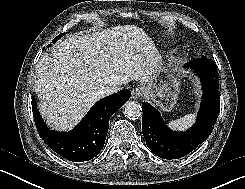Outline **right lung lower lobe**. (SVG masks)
Returning <instances> with one entry per match:
<instances>
[{
	"label": "right lung lower lobe",
	"instance_id": "obj_1",
	"mask_svg": "<svg viewBox=\"0 0 245 189\" xmlns=\"http://www.w3.org/2000/svg\"><path fill=\"white\" fill-rule=\"evenodd\" d=\"M130 96V90L124 89L99 100L73 130L64 133L49 130L37 111L35 98L32 97L36 128L44 142L63 158L74 162L91 160L104 146L109 118Z\"/></svg>",
	"mask_w": 245,
	"mask_h": 189
}]
</instances>
